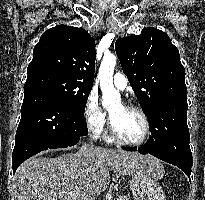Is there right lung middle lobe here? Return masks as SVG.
I'll return each mask as SVG.
<instances>
[{"label": "right lung middle lobe", "mask_w": 205, "mask_h": 200, "mask_svg": "<svg viewBox=\"0 0 205 200\" xmlns=\"http://www.w3.org/2000/svg\"><path fill=\"white\" fill-rule=\"evenodd\" d=\"M30 87L52 93L66 106L80 114H84L86 102L92 89V85L57 74H43L29 78L25 82L24 89Z\"/></svg>", "instance_id": "obj_1"}]
</instances>
